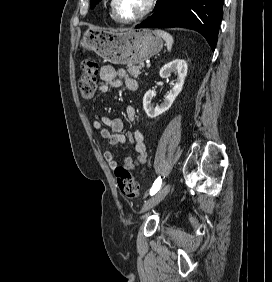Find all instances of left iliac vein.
I'll return each instance as SVG.
<instances>
[{"mask_svg":"<svg viewBox=\"0 0 272 282\" xmlns=\"http://www.w3.org/2000/svg\"><path fill=\"white\" fill-rule=\"evenodd\" d=\"M171 185H164L153 197L146 201L141 209V212H146L156 206L170 191Z\"/></svg>","mask_w":272,"mask_h":282,"instance_id":"1","label":"left iliac vein"}]
</instances>
